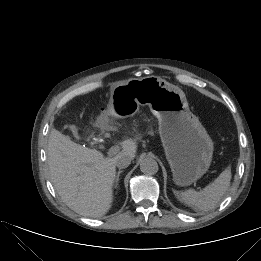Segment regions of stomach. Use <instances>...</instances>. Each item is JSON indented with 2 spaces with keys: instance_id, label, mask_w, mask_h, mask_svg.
Returning <instances> with one entry per match:
<instances>
[{
  "instance_id": "obj_1",
  "label": "stomach",
  "mask_w": 261,
  "mask_h": 261,
  "mask_svg": "<svg viewBox=\"0 0 261 261\" xmlns=\"http://www.w3.org/2000/svg\"><path fill=\"white\" fill-rule=\"evenodd\" d=\"M146 105L158 119L174 183L188 186L196 182L208 171L214 146L178 86L157 76L129 79L112 89L107 111L112 109L115 118H127Z\"/></svg>"
}]
</instances>
